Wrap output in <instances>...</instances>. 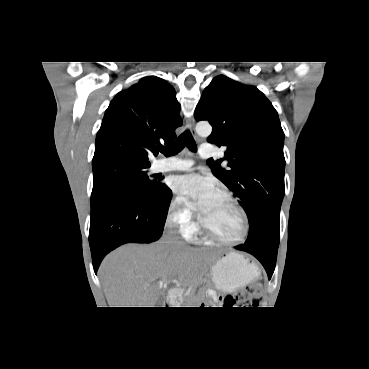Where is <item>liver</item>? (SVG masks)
<instances>
[{
    "label": "liver",
    "instance_id": "6515ba94",
    "mask_svg": "<svg viewBox=\"0 0 369 369\" xmlns=\"http://www.w3.org/2000/svg\"><path fill=\"white\" fill-rule=\"evenodd\" d=\"M212 254L184 243L163 239L150 244H127L110 253L99 268L110 307H155L161 289L158 280L186 287L203 276Z\"/></svg>",
    "mask_w": 369,
    "mask_h": 369
}]
</instances>
